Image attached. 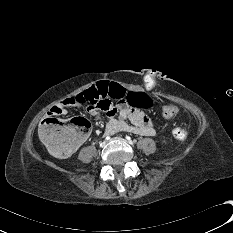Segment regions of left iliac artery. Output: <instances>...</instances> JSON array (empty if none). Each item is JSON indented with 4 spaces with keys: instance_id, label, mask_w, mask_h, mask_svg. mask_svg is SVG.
<instances>
[{
    "instance_id": "obj_1",
    "label": "left iliac artery",
    "mask_w": 233,
    "mask_h": 233,
    "mask_svg": "<svg viewBox=\"0 0 233 233\" xmlns=\"http://www.w3.org/2000/svg\"><path fill=\"white\" fill-rule=\"evenodd\" d=\"M126 139L128 140V142H129L130 144H133V143H134V140H132L131 137L126 136Z\"/></svg>"
}]
</instances>
